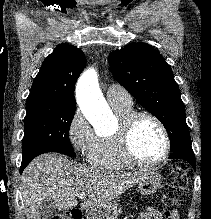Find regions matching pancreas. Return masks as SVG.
<instances>
[{"label":"pancreas","instance_id":"1","mask_svg":"<svg viewBox=\"0 0 211 219\" xmlns=\"http://www.w3.org/2000/svg\"><path fill=\"white\" fill-rule=\"evenodd\" d=\"M121 213H122L121 208H120V207H119V208H116V209L112 212L111 215L109 214V215L105 216V219H117L118 215L121 214Z\"/></svg>","mask_w":211,"mask_h":219}]
</instances>
